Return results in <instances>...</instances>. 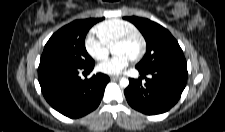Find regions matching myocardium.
Masks as SVG:
<instances>
[{
	"instance_id": "myocardium-1",
	"label": "myocardium",
	"mask_w": 225,
	"mask_h": 132,
	"mask_svg": "<svg viewBox=\"0 0 225 132\" xmlns=\"http://www.w3.org/2000/svg\"><path fill=\"white\" fill-rule=\"evenodd\" d=\"M134 39H138L140 41V50L138 51V53L134 57H132V60L133 61H139L145 55L146 49H147L146 39L139 31L129 32V33L121 36L119 39H117L115 41L113 47L115 45L129 43Z\"/></svg>"
}]
</instances>
